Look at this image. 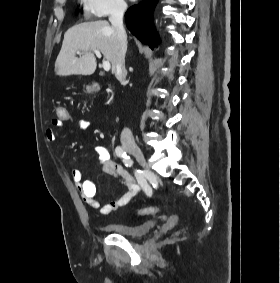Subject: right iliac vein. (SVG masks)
<instances>
[{
    "instance_id": "obj_1",
    "label": "right iliac vein",
    "mask_w": 280,
    "mask_h": 283,
    "mask_svg": "<svg viewBox=\"0 0 280 283\" xmlns=\"http://www.w3.org/2000/svg\"><path fill=\"white\" fill-rule=\"evenodd\" d=\"M126 150L132 154L135 159L144 167L147 168V164H146V160L144 157L143 152L141 151V149L134 144H127L126 145Z\"/></svg>"
}]
</instances>
